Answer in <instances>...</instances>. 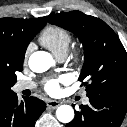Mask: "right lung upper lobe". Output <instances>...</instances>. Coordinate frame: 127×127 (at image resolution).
<instances>
[{
    "instance_id": "right-lung-upper-lobe-1",
    "label": "right lung upper lobe",
    "mask_w": 127,
    "mask_h": 127,
    "mask_svg": "<svg viewBox=\"0 0 127 127\" xmlns=\"http://www.w3.org/2000/svg\"><path fill=\"white\" fill-rule=\"evenodd\" d=\"M48 16L36 19H0V101L14 92L6 82L12 70L22 68L30 41L46 25Z\"/></svg>"
}]
</instances>
